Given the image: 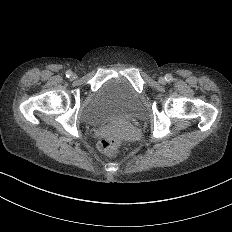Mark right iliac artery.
I'll list each match as a JSON object with an SVG mask.
<instances>
[{
	"instance_id": "right-iliac-artery-1",
	"label": "right iliac artery",
	"mask_w": 232,
	"mask_h": 232,
	"mask_svg": "<svg viewBox=\"0 0 232 232\" xmlns=\"http://www.w3.org/2000/svg\"><path fill=\"white\" fill-rule=\"evenodd\" d=\"M72 76V72L70 70L66 71V77L70 78Z\"/></svg>"
}]
</instances>
